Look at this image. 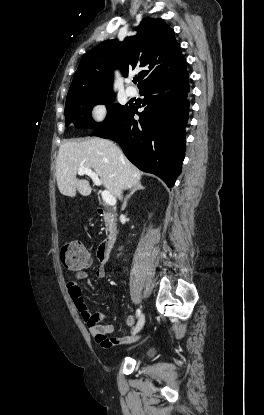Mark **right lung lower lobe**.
I'll return each instance as SVG.
<instances>
[{
    "label": "right lung lower lobe",
    "instance_id": "right-lung-lower-lobe-1",
    "mask_svg": "<svg viewBox=\"0 0 264 415\" xmlns=\"http://www.w3.org/2000/svg\"><path fill=\"white\" fill-rule=\"evenodd\" d=\"M189 74L152 83L140 90L144 111L129 105L110 123L94 129L91 136L117 141L126 157L139 169L160 177L172 187L181 173L188 122Z\"/></svg>",
    "mask_w": 264,
    "mask_h": 415
}]
</instances>
